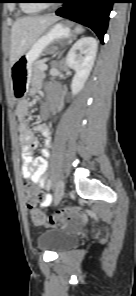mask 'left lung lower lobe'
Masks as SVG:
<instances>
[{"instance_id":"left-lung-lower-lobe-1","label":"left lung lower lobe","mask_w":136,"mask_h":296,"mask_svg":"<svg viewBox=\"0 0 136 296\" xmlns=\"http://www.w3.org/2000/svg\"><path fill=\"white\" fill-rule=\"evenodd\" d=\"M115 0H64L56 15L91 28L103 43L109 14Z\"/></svg>"}]
</instances>
